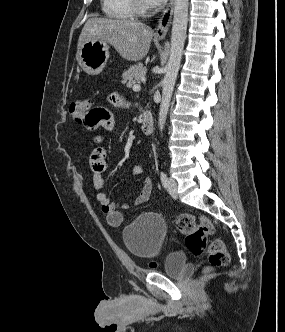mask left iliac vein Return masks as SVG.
I'll list each match as a JSON object with an SVG mask.
<instances>
[{"mask_svg": "<svg viewBox=\"0 0 285 332\" xmlns=\"http://www.w3.org/2000/svg\"><path fill=\"white\" fill-rule=\"evenodd\" d=\"M167 188H168V192L172 197H176L177 196V183L174 179L169 178L167 181Z\"/></svg>", "mask_w": 285, "mask_h": 332, "instance_id": "obj_1", "label": "left iliac vein"}]
</instances>
